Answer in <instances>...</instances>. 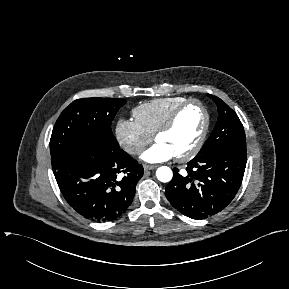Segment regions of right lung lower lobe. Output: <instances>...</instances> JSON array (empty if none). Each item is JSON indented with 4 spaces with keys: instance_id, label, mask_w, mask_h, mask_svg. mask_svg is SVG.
Segmentation results:
<instances>
[{
    "instance_id": "obj_1",
    "label": "right lung lower lobe",
    "mask_w": 289,
    "mask_h": 289,
    "mask_svg": "<svg viewBox=\"0 0 289 289\" xmlns=\"http://www.w3.org/2000/svg\"><path fill=\"white\" fill-rule=\"evenodd\" d=\"M53 172L62 195L77 213L107 222L131 204L143 167L122 149L92 144L66 157Z\"/></svg>"
}]
</instances>
